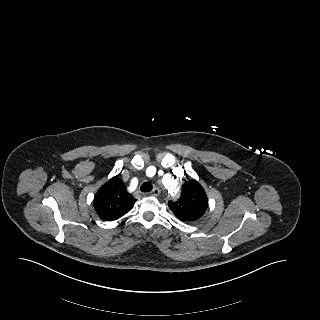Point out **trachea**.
<instances>
[{
	"label": "trachea",
	"mask_w": 320,
	"mask_h": 320,
	"mask_svg": "<svg viewBox=\"0 0 320 320\" xmlns=\"http://www.w3.org/2000/svg\"><path fill=\"white\" fill-rule=\"evenodd\" d=\"M152 188V185L149 183V182H144L142 185H141V191L142 192H149Z\"/></svg>",
	"instance_id": "3493384b"
}]
</instances>
